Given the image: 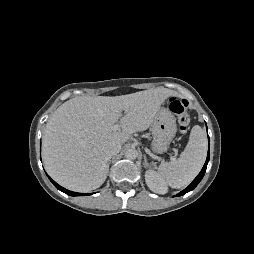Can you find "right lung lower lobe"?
I'll use <instances>...</instances> for the list:
<instances>
[{
	"mask_svg": "<svg viewBox=\"0 0 254 254\" xmlns=\"http://www.w3.org/2000/svg\"><path fill=\"white\" fill-rule=\"evenodd\" d=\"M47 175V174H46ZM48 176V175H47ZM48 178L50 179V181L54 184V186L58 189V190H60V191H62V192H64V193H66L67 195H70V196H86V195H91V194H88V193H77V192H72V191H69V190H67V189H65V188H63V187H61L60 185H58L55 181H53L49 176H48Z\"/></svg>",
	"mask_w": 254,
	"mask_h": 254,
	"instance_id": "right-lung-lower-lobe-1",
	"label": "right lung lower lobe"
}]
</instances>
